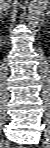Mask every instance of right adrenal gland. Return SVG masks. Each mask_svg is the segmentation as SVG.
<instances>
[{
	"label": "right adrenal gland",
	"instance_id": "right-adrenal-gland-1",
	"mask_svg": "<svg viewBox=\"0 0 50 148\" xmlns=\"http://www.w3.org/2000/svg\"><path fill=\"white\" fill-rule=\"evenodd\" d=\"M7 7V8H6ZM2 11H1V15H3V11L6 15H8V9H9V6H6Z\"/></svg>",
	"mask_w": 50,
	"mask_h": 148
}]
</instances>
